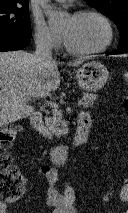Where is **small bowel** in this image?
<instances>
[{"mask_svg":"<svg viewBox=\"0 0 128 213\" xmlns=\"http://www.w3.org/2000/svg\"><path fill=\"white\" fill-rule=\"evenodd\" d=\"M82 114L89 115L86 112H82ZM38 172L40 175L45 177L49 184L45 204L48 208L52 209L50 213H78L75 206L71 208H66L64 206L63 196L56 187L59 178L57 169L52 166H43ZM0 213L16 212L10 210L9 205L6 202H0Z\"/></svg>","mask_w":128,"mask_h":213,"instance_id":"1","label":"small bowel"}]
</instances>
